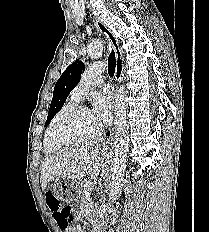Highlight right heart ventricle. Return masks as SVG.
Listing matches in <instances>:
<instances>
[{"mask_svg": "<svg viewBox=\"0 0 209 232\" xmlns=\"http://www.w3.org/2000/svg\"><path fill=\"white\" fill-rule=\"evenodd\" d=\"M76 105V101L73 99H70L67 103L63 105V107L57 112L55 115L54 119L52 120L51 124L55 123L59 117L68 109L72 108L73 106ZM44 147L47 152H54L58 149H60L62 146L54 144L49 135V128L47 130L46 136H45V142H44Z\"/></svg>", "mask_w": 209, "mask_h": 232, "instance_id": "right-heart-ventricle-1", "label": "right heart ventricle"}]
</instances>
